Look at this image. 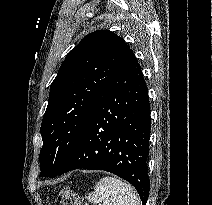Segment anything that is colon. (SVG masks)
Returning a JSON list of instances; mask_svg holds the SVG:
<instances>
[{"instance_id": "obj_1", "label": "colon", "mask_w": 212, "mask_h": 205, "mask_svg": "<svg viewBox=\"0 0 212 205\" xmlns=\"http://www.w3.org/2000/svg\"><path fill=\"white\" fill-rule=\"evenodd\" d=\"M58 200L63 205H81L79 198L67 187L60 190Z\"/></svg>"}]
</instances>
